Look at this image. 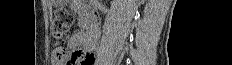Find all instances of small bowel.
I'll list each match as a JSON object with an SVG mask.
<instances>
[{
	"label": "small bowel",
	"mask_w": 232,
	"mask_h": 65,
	"mask_svg": "<svg viewBox=\"0 0 232 65\" xmlns=\"http://www.w3.org/2000/svg\"><path fill=\"white\" fill-rule=\"evenodd\" d=\"M87 43L88 42L86 40V37L81 32L73 34L68 41L69 46L72 48L77 46H83L86 51H93L96 47V42H91L90 47L88 48L86 47Z\"/></svg>",
	"instance_id": "1"
}]
</instances>
